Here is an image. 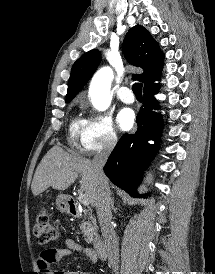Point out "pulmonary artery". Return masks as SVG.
Returning <instances> with one entry per match:
<instances>
[{
    "label": "pulmonary artery",
    "instance_id": "1",
    "mask_svg": "<svg viewBox=\"0 0 215 274\" xmlns=\"http://www.w3.org/2000/svg\"><path fill=\"white\" fill-rule=\"evenodd\" d=\"M119 99L127 104L133 103L135 98L130 88L128 87H121L118 91Z\"/></svg>",
    "mask_w": 215,
    "mask_h": 274
}]
</instances>
